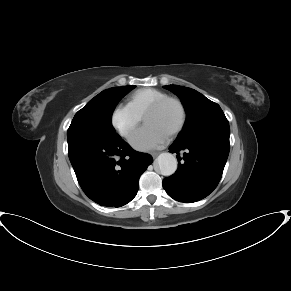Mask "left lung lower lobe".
Listing matches in <instances>:
<instances>
[{
	"label": "left lung lower lobe",
	"instance_id": "1",
	"mask_svg": "<svg viewBox=\"0 0 291 291\" xmlns=\"http://www.w3.org/2000/svg\"><path fill=\"white\" fill-rule=\"evenodd\" d=\"M230 128L206 131L187 140H175L171 153L183 151L178 157V170L163 180V188L173 199L191 203L208 196L218 185L226 164Z\"/></svg>",
	"mask_w": 291,
	"mask_h": 291
}]
</instances>
